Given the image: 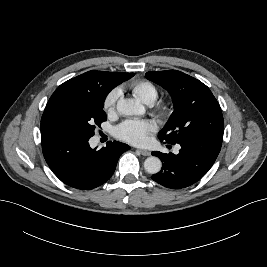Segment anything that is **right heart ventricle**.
Returning <instances> with one entry per match:
<instances>
[{"label": "right heart ventricle", "mask_w": 267, "mask_h": 267, "mask_svg": "<svg viewBox=\"0 0 267 267\" xmlns=\"http://www.w3.org/2000/svg\"><path fill=\"white\" fill-rule=\"evenodd\" d=\"M129 87L139 100L148 105L154 104L159 95L158 88L147 80L134 81Z\"/></svg>", "instance_id": "e07e8e85"}]
</instances>
